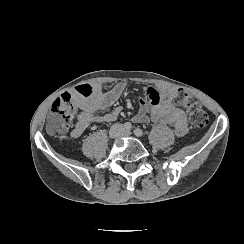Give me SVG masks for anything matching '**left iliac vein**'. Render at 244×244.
Returning a JSON list of instances; mask_svg holds the SVG:
<instances>
[{"label":"left iliac vein","mask_w":244,"mask_h":244,"mask_svg":"<svg viewBox=\"0 0 244 244\" xmlns=\"http://www.w3.org/2000/svg\"><path fill=\"white\" fill-rule=\"evenodd\" d=\"M121 134L122 135H124V136H129L130 134H131V131L130 130H122V132H121Z\"/></svg>","instance_id":"4c4485c4"}]
</instances>
